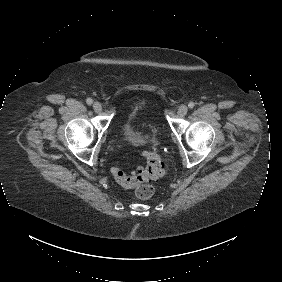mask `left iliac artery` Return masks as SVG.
<instances>
[{
    "instance_id": "left-iliac-artery-1",
    "label": "left iliac artery",
    "mask_w": 282,
    "mask_h": 282,
    "mask_svg": "<svg viewBox=\"0 0 282 282\" xmlns=\"http://www.w3.org/2000/svg\"><path fill=\"white\" fill-rule=\"evenodd\" d=\"M188 106H189V108H193L194 106H195V104H194V102H190L189 104H188Z\"/></svg>"
}]
</instances>
